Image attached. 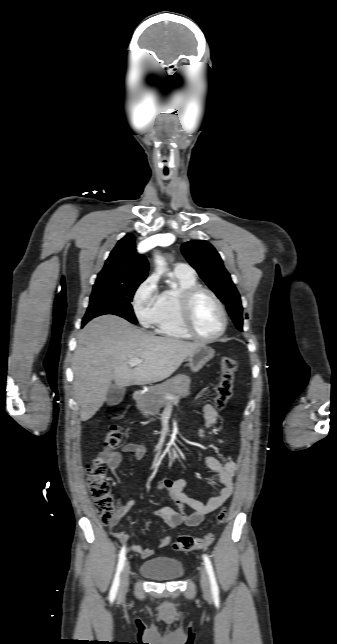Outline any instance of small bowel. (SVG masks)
<instances>
[{
    "label": "small bowel",
    "instance_id": "c3829d8e",
    "mask_svg": "<svg viewBox=\"0 0 337 644\" xmlns=\"http://www.w3.org/2000/svg\"><path fill=\"white\" fill-rule=\"evenodd\" d=\"M204 413V428L199 430V437H204L205 428H210L216 425L218 421V413L209 403L203 406ZM131 453L137 460L143 459L147 454V448L143 445L129 442L126 443L120 451L111 450L108 448L103 449L100 454V460L109 468L110 471L115 472L122 462V454ZM207 467L218 475L220 482V491L218 495L211 497L207 502L199 501L195 498L188 496L184 492L187 483L186 477L178 479H163L159 482L158 487L167 490L179 510L176 511L169 506H162L160 508L149 510L145 509V515H156L160 517L167 525L169 530H175L181 525L197 526L203 519L217 510L223 503L231 497L233 493V477L237 470L235 461H219L215 457L209 456L205 459ZM134 506V501L128 499L124 504L120 505L114 521L110 524V534L119 542L124 543L128 540L129 534L126 531L117 530V524L126 513H128ZM190 507L193 513L186 514L185 507ZM172 536L168 535L158 541L156 547L144 548L139 544L131 546L132 550L139 553L143 558H150L156 553L157 548H163L169 545Z\"/></svg>",
    "mask_w": 337,
    "mask_h": 644
}]
</instances>
